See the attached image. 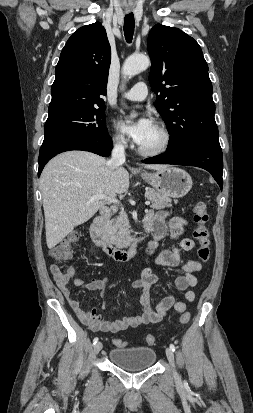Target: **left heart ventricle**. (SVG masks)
Wrapping results in <instances>:
<instances>
[{
    "mask_svg": "<svg viewBox=\"0 0 253 413\" xmlns=\"http://www.w3.org/2000/svg\"><path fill=\"white\" fill-rule=\"evenodd\" d=\"M162 141V135L155 125H153L150 132L144 138V140L139 144L145 149H153L159 146Z\"/></svg>",
    "mask_w": 253,
    "mask_h": 413,
    "instance_id": "obj_1",
    "label": "left heart ventricle"
}]
</instances>
